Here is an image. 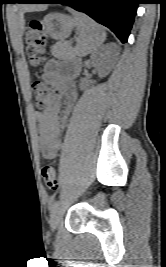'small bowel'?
Masks as SVG:
<instances>
[{
    "label": "small bowel",
    "instance_id": "small-bowel-1",
    "mask_svg": "<svg viewBox=\"0 0 166 267\" xmlns=\"http://www.w3.org/2000/svg\"><path fill=\"white\" fill-rule=\"evenodd\" d=\"M76 75V68L64 67L57 60H50L41 75L47 84L59 90L60 94L65 97L66 102L62 117L59 116L61 110L59 102L44 110L35 112V118L38 123L40 149L43 156L47 159L55 158L60 148V136L65 120L77 96L73 85Z\"/></svg>",
    "mask_w": 166,
    "mask_h": 267
}]
</instances>
